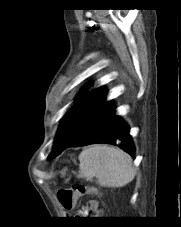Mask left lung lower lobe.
<instances>
[{
    "label": "left lung lower lobe",
    "mask_w": 181,
    "mask_h": 227,
    "mask_svg": "<svg viewBox=\"0 0 181 227\" xmlns=\"http://www.w3.org/2000/svg\"><path fill=\"white\" fill-rule=\"evenodd\" d=\"M93 143L118 145L131 156L135 154L129 128L119 116L115 115L110 101L104 102L94 112L81 133L64 149Z\"/></svg>",
    "instance_id": "0a47b994"
}]
</instances>
